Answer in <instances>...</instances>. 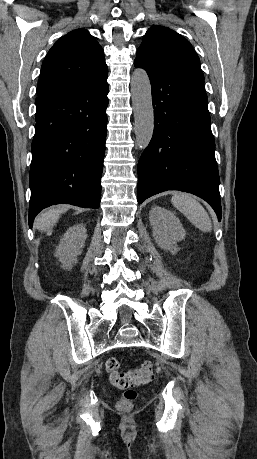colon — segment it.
<instances>
[{"label": "colon", "instance_id": "5ec220e1", "mask_svg": "<svg viewBox=\"0 0 257 459\" xmlns=\"http://www.w3.org/2000/svg\"><path fill=\"white\" fill-rule=\"evenodd\" d=\"M111 384L125 390L122 398L117 402V408L121 411H130L137 397L135 387L147 383L154 378L153 364L150 361L126 372H120V362L116 358H109L105 363Z\"/></svg>", "mask_w": 257, "mask_h": 459}]
</instances>
